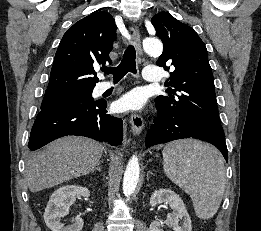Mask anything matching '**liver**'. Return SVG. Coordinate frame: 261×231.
I'll list each match as a JSON object with an SVG mask.
<instances>
[{
    "label": "liver",
    "mask_w": 261,
    "mask_h": 231,
    "mask_svg": "<svg viewBox=\"0 0 261 231\" xmlns=\"http://www.w3.org/2000/svg\"><path fill=\"white\" fill-rule=\"evenodd\" d=\"M103 150L102 144L83 137L53 141L27 162L25 179L29 190L38 192L88 174L100 162Z\"/></svg>",
    "instance_id": "1"
}]
</instances>
